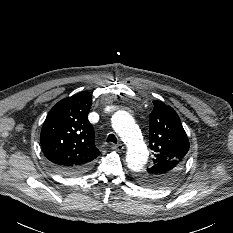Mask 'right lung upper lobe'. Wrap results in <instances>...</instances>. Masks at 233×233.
I'll return each mask as SVG.
<instances>
[{"label":"right lung upper lobe","mask_w":233,"mask_h":233,"mask_svg":"<svg viewBox=\"0 0 233 233\" xmlns=\"http://www.w3.org/2000/svg\"><path fill=\"white\" fill-rule=\"evenodd\" d=\"M91 100L87 92L61 100L42 126L40 141L45 157L66 171H80L100 154L88 121Z\"/></svg>","instance_id":"1"}]
</instances>
